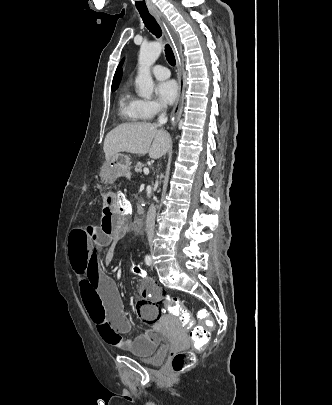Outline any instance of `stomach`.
I'll use <instances>...</instances> for the list:
<instances>
[{
	"label": "stomach",
	"instance_id": "1",
	"mask_svg": "<svg viewBox=\"0 0 332 405\" xmlns=\"http://www.w3.org/2000/svg\"><path fill=\"white\" fill-rule=\"evenodd\" d=\"M110 161V160H109ZM113 161L112 169L116 171V175H126L130 170V157L121 153H117L111 159Z\"/></svg>",
	"mask_w": 332,
	"mask_h": 405
}]
</instances>
